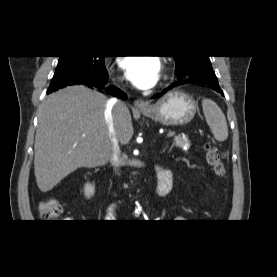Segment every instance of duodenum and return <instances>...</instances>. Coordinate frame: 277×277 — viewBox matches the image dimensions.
Segmentation results:
<instances>
[{
  "instance_id": "1",
  "label": "duodenum",
  "mask_w": 277,
  "mask_h": 277,
  "mask_svg": "<svg viewBox=\"0 0 277 277\" xmlns=\"http://www.w3.org/2000/svg\"><path fill=\"white\" fill-rule=\"evenodd\" d=\"M159 180H162L164 183H166L167 185H169L171 183V176L169 174H167V171L166 169H163L162 172H161V176L158 178V181ZM171 188V186H170ZM170 188L167 190V192H165L164 194L160 195V196H163V195H166ZM157 193H158V183H157Z\"/></svg>"
}]
</instances>
